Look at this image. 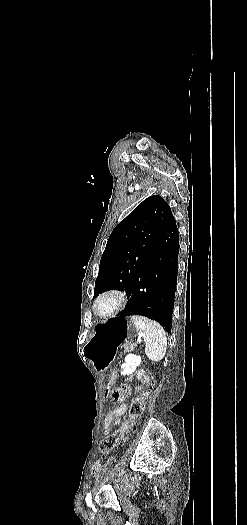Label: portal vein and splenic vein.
Instances as JSON below:
<instances>
[{
  "mask_svg": "<svg viewBox=\"0 0 247 525\" xmlns=\"http://www.w3.org/2000/svg\"><path fill=\"white\" fill-rule=\"evenodd\" d=\"M137 341H143V335H138Z\"/></svg>",
  "mask_w": 247,
  "mask_h": 525,
  "instance_id": "obj_1",
  "label": "portal vein and splenic vein"
}]
</instances>
